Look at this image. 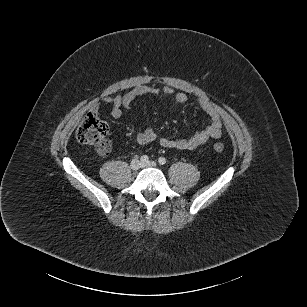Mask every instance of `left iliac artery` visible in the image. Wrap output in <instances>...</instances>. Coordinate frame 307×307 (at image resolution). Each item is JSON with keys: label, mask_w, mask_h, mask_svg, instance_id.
<instances>
[{"label": "left iliac artery", "mask_w": 307, "mask_h": 307, "mask_svg": "<svg viewBox=\"0 0 307 307\" xmlns=\"http://www.w3.org/2000/svg\"><path fill=\"white\" fill-rule=\"evenodd\" d=\"M158 163H159L160 165H164V164L166 163V159H165L164 157H160V158L158 159Z\"/></svg>", "instance_id": "left-iliac-artery-1"}]
</instances>
